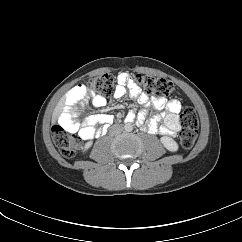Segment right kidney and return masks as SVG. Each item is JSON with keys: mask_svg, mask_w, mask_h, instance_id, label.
<instances>
[{"mask_svg": "<svg viewBox=\"0 0 242 242\" xmlns=\"http://www.w3.org/2000/svg\"><path fill=\"white\" fill-rule=\"evenodd\" d=\"M90 146H91V143L89 142L85 145V149H88Z\"/></svg>", "mask_w": 242, "mask_h": 242, "instance_id": "obj_1", "label": "right kidney"}]
</instances>
